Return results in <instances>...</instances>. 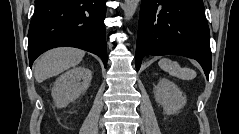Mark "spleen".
Instances as JSON below:
<instances>
[{"label": "spleen", "mask_w": 239, "mask_h": 134, "mask_svg": "<svg viewBox=\"0 0 239 134\" xmlns=\"http://www.w3.org/2000/svg\"><path fill=\"white\" fill-rule=\"evenodd\" d=\"M158 65L162 70L171 76L178 77L183 80H192L196 77V72L190 68H182L177 62L168 58H162Z\"/></svg>", "instance_id": "obj_1"}]
</instances>
